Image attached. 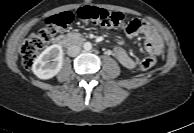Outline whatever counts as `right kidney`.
I'll return each instance as SVG.
<instances>
[{
    "label": "right kidney",
    "instance_id": "ca27d5eb",
    "mask_svg": "<svg viewBox=\"0 0 194 133\" xmlns=\"http://www.w3.org/2000/svg\"><path fill=\"white\" fill-rule=\"evenodd\" d=\"M63 65V50L58 44L46 48L34 61L33 73L40 79H50L58 74Z\"/></svg>",
    "mask_w": 194,
    "mask_h": 133
}]
</instances>
